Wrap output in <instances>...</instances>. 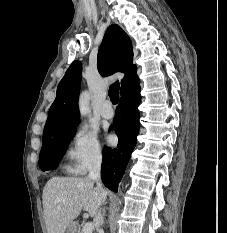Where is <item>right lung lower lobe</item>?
<instances>
[{
  "instance_id": "1",
  "label": "right lung lower lobe",
  "mask_w": 227,
  "mask_h": 233,
  "mask_svg": "<svg viewBox=\"0 0 227 233\" xmlns=\"http://www.w3.org/2000/svg\"><path fill=\"white\" fill-rule=\"evenodd\" d=\"M140 102V86L121 97L112 125L119 138L117 148L106 147L103 150L101 178L104 185L114 192H117L118 183L136 145L140 128L138 111Z\"/></svg>"
}]
</instances>
